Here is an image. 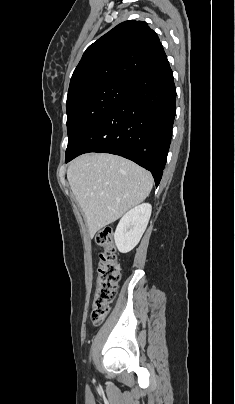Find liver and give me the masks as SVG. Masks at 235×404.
Wrapping results in <instances>:
<instances>
[{
	"label": "liver",
	"mask_w": 235,
	"mask_h": 404,
	"mask_svg": "<svg viewBox=\"0 0 235 404\" xmlns=\"http://www.w3.org/2000/svg\"><path fill=\"white\" fill-rule=\"evenodd\" d=\"M67 179L86 219L90 237L146 199L151 173L112 154H84L73 160Z\"/></svg>",
	"instance_id": "6515ba94"
}]
</instances>
